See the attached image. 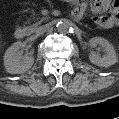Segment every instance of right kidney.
I'll use <instances>...</instances> for the list:
<instances>
[{
	"label": "right kidney",
	"instance_id": "ca27d5eb",
	"mask_svg": "<svg viewBox=\"0 0 119 119\" xmlns=\"http://www.w3.org/2000/svg\"><path fill=\"white\" fill-rule=\"evenodd\" d=\"M22 46L23 43L18 41L7 49L4 55V65L8 73L21 74L32 67L34 58L32 55H23L20 51Z\"/></svg>",
	"mask_w": 119,
	"mask_h": 119
}]
</instances>
